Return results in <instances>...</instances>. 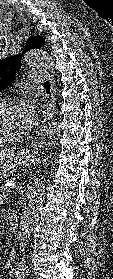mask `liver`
I'll list each match as a JSON object with an SVG mask.
<instances>
[{
    "label": "liver",
    "instance_id": "liver-1",
    "mask_svg": "<svg viewBox=\"0 0 113 279\" xmlns=\"http://www.w3.org/2000/svg\"><path fill=\"white\" fill-rule=\"evenodd\" d=\"M15 156V152L14 150H10V149H3L0 151V158L1 159H11Z\"/></svg>",
    "mask_w": 113,
    "mask_h": 279
}]
</instances>
